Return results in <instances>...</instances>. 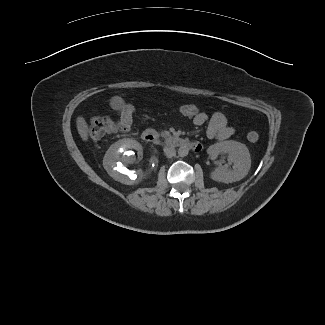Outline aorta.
Here are the masks:
<instances>
[{
	"label": "aorta",
	"mask_w": 325,
	"mask_h": 325,
	"mask_svg": "<svg viewBox=\"0 0 325 325\" xmlns=\"http://www.w3.org/2000/svg\"><path fill=\"white\" fill-rule=\"evenodd\" d=\"M188 152H189V148L187 146H181L179 149H178V155L180 157H185L188 155Z\"/></svg>",
	"instance_id": "1"
}]
</instances>
